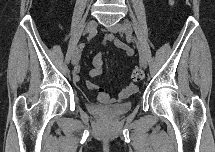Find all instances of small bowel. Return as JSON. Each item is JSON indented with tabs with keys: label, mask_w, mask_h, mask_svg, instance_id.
<instances>
[{
	"label": "small bowel",
	"mask_w": 215,
	"mask_h": 152,
	"mask_svg": "<svg viewBox=\"0 0 215 152\" xmlns=\"http://www.w3.org/2000/svg\"><path fill=\"white\" fill-rule=\"evenodd\" d=\"M106 41L114 43V45L118 49L122 50L127 55H129V56L133 55V50L128 45H126L125 43L120 41L113 34H107ZM91 64H92V68L89 70V75L91 77H99L102 74V70H103V62H102L101 53H97L92 57ZM73 79H74V81L79 80L78 69L74 73ZM87 87L91 90L96 91V100L98 102L105 103L109 100L108 94L104 91V89L100 85H98L94 82H91V81H87ZM137 89L138 88L134 83H130L121 90V92L119 93V98L124 99V98L128 97L129 95L133 94L134 92H136Z\"/></svg>",
	"instance_id": "c3829d8e"
}]
</instances>
